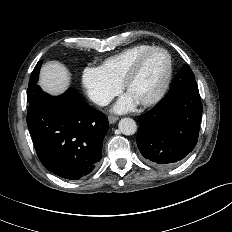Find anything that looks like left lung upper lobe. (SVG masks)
Returning a JSON list of instances; mask_svg holds the SVG:
<instances>
[{
    "instance_id": "left-lung-upper-lobe-1",
    "label": "left lung upper lobe",
    "mask_w": 232,
    "mask_h": 232,
    "mask_svg": "<svg viewBox=\"0 0 232 232\" xmlns=\"http://www.w3.org/2000/svg\"><path fill=\"white\" fill-rule=\"evenodd\" d=\"M173 84L184 91L199 92L195 76L188 65H184V68L181 69L173 80Z\"/></svg>"
}]
</instances>
